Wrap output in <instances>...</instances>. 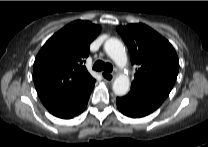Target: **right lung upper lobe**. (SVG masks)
Listing matches in <instances>:
<instances>
[{
	"label": "right lung upper lobe",
	"mask_w": 208,
	"mask_h": 147,
	"mask_svg": "<svg viewBox=\"0 0 208 147\" xmlns=\"http://www.w3.org/2000/svg\"><path fill=\"white\" fill-rule=\"evenodd\" d=\"M100 31L99 25L89 21H74L41 48L34 62L33 79L46 108L73 99L95 82L83 62Z\"/></svg>",
	"instance_id": "right-lung-upper-lobe-1"
}]
</instances>
